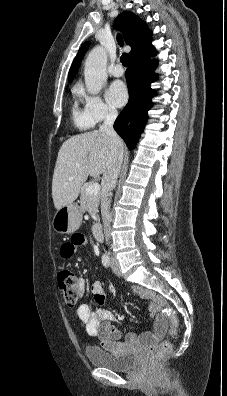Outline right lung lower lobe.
I'll return each mask as SVG.
<instances>
[{
  "mask_svg": "<svg viewBox=\"0 0 227 396\" xmlns=\"http://www.w3.org/2000/svg\"><path fill=\"white\" fill-rule=\"evenodd\" d=\"M152 44L140 50L130 58L129 69L126 71V81L129 91V101L114 123V129L124 139L132 150L148 119V110L152 107L151 98L155 91L150 84L157 79L154 69L157 60L150 58L156 55Z\"/></svg>",
  "mask_w": 227,
  "mask_h": 396,
  "instance_id": "right-lung-lower-lobe-1",
  "label": "right lung lower lobe"
}]
</instances>
